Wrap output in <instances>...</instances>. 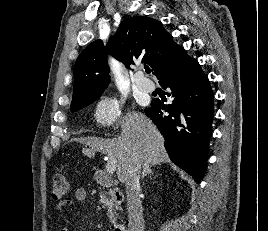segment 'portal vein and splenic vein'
Instances as JSON below:
<instances>
[{
	"mask_svg": "<svg viewBox=\"0 0 268 231\" xmlns=\"http://www.w3.org/2000/svg\"><path fill=\"white\" fill-rule=\"evenodd\" d=\"M117 167V160L116 158L109 154L107 157V163H106V170L109 174H113Z\"/></svg>",
	"mask_w": 268,
	"mask_h": 231,
	"instance_id": "portal-vein-and-splenic-vein-1",
	"label": "portal vein and splenic vein"
}]
</instances>
